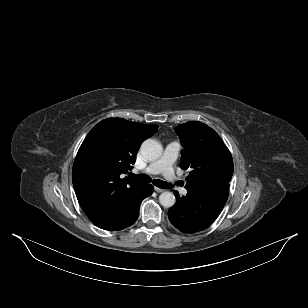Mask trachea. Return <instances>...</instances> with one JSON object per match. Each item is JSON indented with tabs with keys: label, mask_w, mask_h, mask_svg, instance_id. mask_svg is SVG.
<instances>
[{
	"label": "trachea",
	"mask_w": 308,
	"mask_h": 308,
	"mask_svg": "<svg viewBox=\"0 0 308 308\" xmlns=\"http://www.w3.org/2000/svg\"><path fill=\"white\" fill-rule=\"evenodd\" d=\"M130 178L140 183H150L152 181L151 178L146 174H138V175L131 174ZM152 183L159 188L163 189L171 188V184L159 179L153 180Z\"/></svg>",
	"instance_id": "1"
}]
</instances>
